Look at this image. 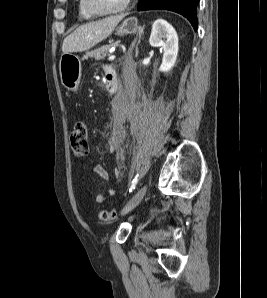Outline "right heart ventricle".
Masks as SVG:
<instances>
[{"instance_id": "obj_1", "label": "right heart ventricle", "mask_w": 267, "mask_h": 298, "mask_svg": "<svg viewBox=\"0 0 267 298\" xmlns=\"http://www.w3.org/2000/svg\"><path fill=\"white\" fill-rule=\"evenodd\" d=\"M78 14L84 20H91L95 17L85 10L83 6V0H78Z\"/></svg>"}]
</instances>
